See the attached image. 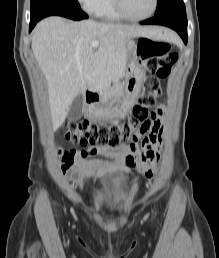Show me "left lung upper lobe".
<instances>
[{
  "mask_svg": "<svg viewBox=\"0 0 219 258\" xmlns=\"http://www.w3.org/2000/svg\"><path fill=\"white\" fill-rule=\"evenodd\" d=\"M172 11L185 12L183 0H158L157 10L154 16H159Z\"/></svg>",
  "mask_w": 219,
  "mask_h": 258,
  "instance_id": "obj_1",
  "label": "left lung upper lobe"
}]
</instances>
